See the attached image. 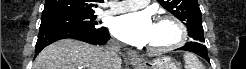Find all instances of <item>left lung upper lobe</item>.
Here are the masks:
<instances>
[{
  "mask_svg": "<svg viewBox=\"0 0 246 69\" xmlns=\"http://www.w3.org/2000/svg\"><path fill=\"white\" fill-rule=\"evenodd\" d=\"M187 26L192 41L204 43L201 11L197 0H157Z\"/></svg>",
  "mask_w": 246,
  "mask_h": 69,
  "instance_id": "left-lung-upper-lobe-1",
  "label": "left lung upper lobe"
}]
</instances>
